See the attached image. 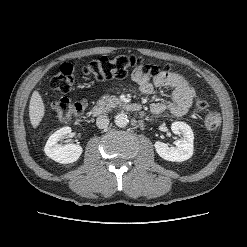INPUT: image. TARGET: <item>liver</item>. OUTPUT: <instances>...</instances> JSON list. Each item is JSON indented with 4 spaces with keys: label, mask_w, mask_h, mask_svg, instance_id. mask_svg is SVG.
Wrapping results in <instances>:
<instances>
[{
    "label": "liver",
    "mask_w": 247,
    "mask_h": 247,
    "mask_svg": "<svg viewBox=\"0 0 247 247\" xmlns=\"http://www.w3.org/2000/svg\"><path fill=\"white\" fill-rule=\"evenodd\" d=\"M45 114V105L39 92L32 93L29 104V118L33 128H37Z\"/></svg>",
    "instance_id": "obj_1"
}]
</instances>
